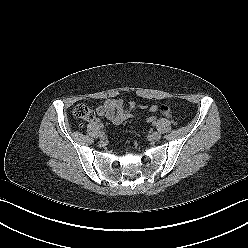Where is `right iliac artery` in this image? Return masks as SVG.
<instances>
[{
  "instance_id": "1",
  "label": "right iliac artery",
  "mask_w": 248,
  "mask_h": 248,
  "mask_svg": "<svg viewBox=\"0 0 248 248\" xmlns=\"http://www.w3.org/2000/svg\"><path fill=\"white\" fill-rule=\"evenodd\" d=\"M103 127H104L103 125H100V128H102V129H103Z\"/></svg>"
}]
</instances>
